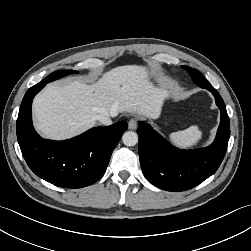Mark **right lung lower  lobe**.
Masks as SVG:
<instances>
[{"label": "right lung lower lobe", "mask_w": 251, "mask_h": 251, "mask_svg": "<svg viewBox=\"0 0 251 251\" xmlns=\"http://www.w3.org/2000/svg\"><path fill=\"white\" fill-rule=\"evenodd\" d=\"M47 83L40 82L26 92L17 119V139L30 169L56 186L82 188L98 181L106 171L111 154L128 124L117 122L95 127L64 141L41 138L33 128L31 105Z\"/></svg>", "instance_id": "98d812e1"}]
</instances>
